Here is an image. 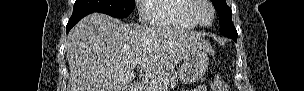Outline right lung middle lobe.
Wrapping results in <instances>:
<instances>
[{
	"mask_svg": "<svg viewBox=\"0 0 304 91\" xmlns=\"http://www.w3.org/2000/svg\"><path fill=\"white\" fill-rule=\"evenodd\" d=\"M134 8L135 0H76L73 12H100L112 17L126 18Z\"/></svg>",
	"mask_w": 304,
	"mask_h": 91,
	"instance_id": "1",
	"label": "right lung middle lobe"
}]
</instances>
